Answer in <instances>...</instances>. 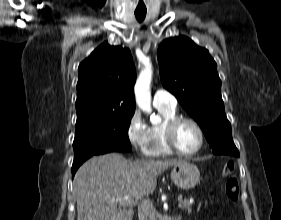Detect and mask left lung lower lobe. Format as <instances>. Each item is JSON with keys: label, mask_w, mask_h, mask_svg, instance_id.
<instances>
[{"label": "left lung lower lobe", "mask_w": 281, "mask_h": 220, "mask_svg": "<svg viewBox=\"0 0 281 220\" xmlns=\"http://www.w3.org/2000/svg\"><path fill=\"white\" fill-rule=\"evenodd\" d=\"M234 156H237V157H239V152H237Z\"/></svg>", "instance_id": "left-lung-lower-lobe-1"}]
</instances>
